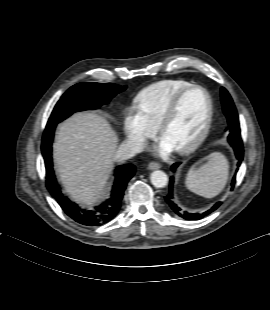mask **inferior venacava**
<instances>
[{
    "label": "inferior vena cava",
    "mask_w": 270,
    "mask_h": 310,
    "mask_svg": "<svg viewBox=\"0 0 270 310\" xmlns=\"http://www.w3.org/2000/svg\"><path fill=\"white\" fill-rule=\"evenodd\" d=\"M144 142H135V141H124L116 151L114 159L118 161L127 160L137 153H140L144 150Z\"/></svg>",
    "instance_id": "602c4592"
}]
</instances>
